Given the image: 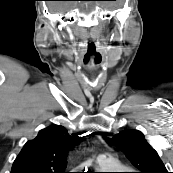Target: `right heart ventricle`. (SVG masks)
<instances>
[{
  "instance_id": "right-heart-ventricle-1",
  "label": "right heart ventricle",
  "mask_w": 173,
  "mask_h": 173,
  "mask_svg": "<svg viewBox=\"0 0 173 173\" xmlns=\"http://www.w3.org/2000/svg\"><path fill=\"white\" fill-rule=\"evenodd\" d=\"M101 168L104 169H117L118 171H125L126 167L117 161L115 158L106 156L105 158L98 161Z\"/></svg>"
}]
</instances>
